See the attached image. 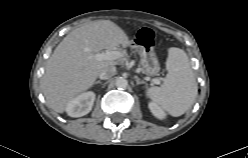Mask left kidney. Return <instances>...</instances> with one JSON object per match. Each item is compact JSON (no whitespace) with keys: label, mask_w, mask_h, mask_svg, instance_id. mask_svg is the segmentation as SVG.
Here are the masks:
<instances>
[{"label":"left kidney","mask_w":248,"mask_h":158,"mask_svg":"<svg viewBox=\"0 0 248 158\" xmlns=\"http://www.w3.org/2000/svg\"><path fill=\"white\" fill-rule=\"evenodd\" d=\"M148 106L155 117H157L158 119L165 118L166 116L165 112L156 103L150 102Z\"/></svg>","instance_id":"left-kidney-1"}]
</instances>
